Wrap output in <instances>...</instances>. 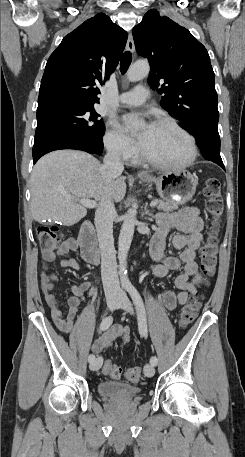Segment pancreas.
<instances>
[{"label":"pancreas","instance_id":"obj_1","mask_svg":"<svg viewBox=\"0 0 245 457\" xmlns=\"http://www.w3.org/2000/svg\"><path fill=\"white\" fill-rule=\"evenodd\" d=\"M157 200V208L158 210H164V212H169V210H175V208H178L179 202H164V200H158V198H155Z\"/></svg>","mask_w":245,"mask_h":457}]
</instances>
